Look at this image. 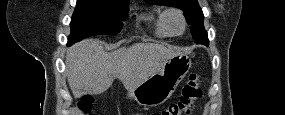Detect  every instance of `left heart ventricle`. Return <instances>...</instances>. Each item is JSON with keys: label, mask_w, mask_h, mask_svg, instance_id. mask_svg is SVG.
<instances>
[{"label": "left heart ventricle", "mask_w": 285, "mask_h": 115, "mask_svg": "<svg viewBox=\"0 0 285 115\" xmlns=\"http://www.w3.org/2000/svg\"><path fill=\"white\" fill-rule=\"evenodd\" d=\"M171 24L174 30L178 31L181 27L180 20L176 16L171 17Z\"/></svg>", "instance_id": "left-heart-ventricle-1"}]
</instances>
